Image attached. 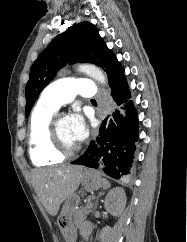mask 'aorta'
Wrapping results in <instances>:
<instances>
[{
	"mask_svg": "<svg viewBox=\"0 0 187 242\" xmlns=\"http://www.w3.org/2000/svg\"><path fill=\"white\" fill-rule=\"evenodd\" d=\"M79 71L86 73L96 81H98L100 84L105 85L107 84V77L103 73V71L96 67L95 65L91 64H82L79 66Z\"/></svg>",
	"mask_w": 187,
	"mask_h": 242,
	"instance_id": "1",
	"label": "aorta"
}]
</instances>
